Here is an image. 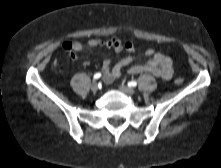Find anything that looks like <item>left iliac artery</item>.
Instances as JSON below:
<instances>
[{"label": "left iliac artery", "instance_id": "obj_1", "mask_svg": "<svg viewBox=\"0 0 221 168\" xmlns=\"http://www.w3.org/2000/svg\"><path fill=\"white\" fill-rule=\"evenodd\" d=\"M128 86L129 87H135V86H137V82L136 81H130V82H128Z\"/></svg>", "mask_w": 221, "mask_h": 168}]
</instances>
